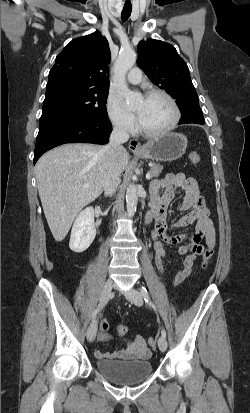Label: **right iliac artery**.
<instances>
[{
	"label": "right iliac artery",
	"instance_id": "82829eb1",
	"mask_svg": "<svg viewBox=\"0 0 250 413\" xmlns=\"http://www.w3.org/2000/svg\"><path fill=\"white\" fill-rule=\"evenodd\" d=\"M98 311H99V307L94 311V313H93V315H92V321H94V319H95Z\"/></svg>",
	"mask_w": 250,
	"mask_h": 413
}]
</instances>
